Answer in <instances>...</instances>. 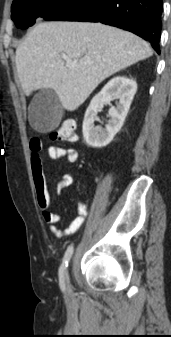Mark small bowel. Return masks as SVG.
<instances>
[{"label":"small bowel","instance_id":"small-bowel-1","mask_svg":"<svg viewBox=\"0 0 171 337\" xmlns=\"http://www.w3.org/2000/svg\"><path fill=\"white\" fill-rule=\"evenodd\" d=\"M32 148L31 156V171L34 184L36 201L42 210L43 220L49 225L51 232L58 238H64L75 234L84 224L87 217V208L89 199L83 198L78 203V214L64 228H58L57 225L61 221V216L51 210V196L47 186L44 173L43 158L41 155L42 143L38 138H32L30 141ZM48 157L51 160L64 159L69 163H74L78 160L79 153L73 147H61L51 145L47 148ZM73 177L70 174L64 173L60 176L59 183L55 188V192L60 194L63 190L73 184Z\"/></svg>","mask_w":171,"mask_h":337}]
</instances>
